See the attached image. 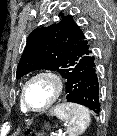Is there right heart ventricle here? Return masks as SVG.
<instances>
[{
	"instance_id": "e07e8e85",
	"label": "right heart ventricle",
	"mask_w": 117,
	"mask_h": 136,
	"mask_svg": "<svg viewBox=\"0 0 117 136\" xmlns=\"http://www.w3.org/2000/svg\"><path fill=\"white\" fill-rule=\"evenodd\" d=\"M20 109L22 112H26L25 109L23 108L22 104H21V100H20Z\"/></svg>"
}]
</instances>
